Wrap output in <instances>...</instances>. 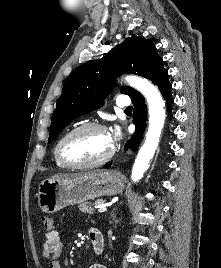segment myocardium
<instances>
[{"mask_svg":"<svg viewBox=\"0 0 221 268\" xmlns=\"http://www.w3.org/2000/svg\"><path fill=\"white\" fill-rule=\"evenodd\" d=\"M87 129H99V130H103L105 132H108L106 126H104L100 123H97V122H86V123H83V124H80V125L74 127L69 132H67L58 141V143L56 145V149H55V155H56L57 160L65 167L75 168V169L95 167V166L105 164L106 162L111 160L112 157L114 156L115 148L112 147L111 151L108 154H106L105 156H103L102 158H99L97 160L85 161V162H74V161L68 160L63 154L64 143L74 134H76L80 131H83V130H87Z\"/></svg>","mask_w":221,"mask_h":268,"instance_id":"1","label":"myocardium"}]
</instances>
